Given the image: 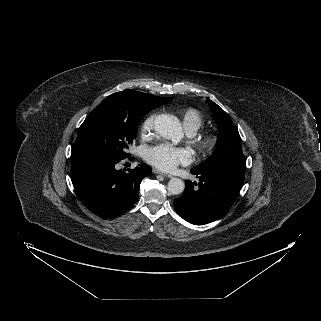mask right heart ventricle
<instances>
[{"mask_svg":"<svg viewBox=\"0 0 321 321\" xmlns=\"http://www.w3.org/2000/svg\"><path fill=\"white\" fill-rule=\"evenodd\" d=\"M181 119L185 130L195 134L205 123L202 113L195 108H186L181 112Z\"/></svg>","mask_w":321,"mask_h":321,"instance_id":"1","label":"right heart ventricle"}]
</instances>
